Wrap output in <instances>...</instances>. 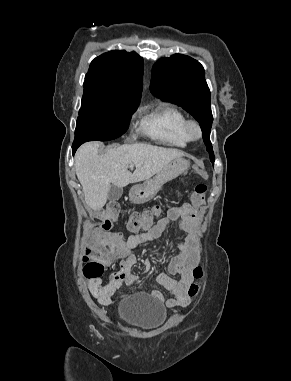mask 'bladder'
<instances>
[{"instance_id": "1", "label": "bladder", "mask_w": 291, "mask_h": 381, "mask_svg": "<svg viewBox=\"0 0 291 381\" xmlns=\"http://www.w3.org/2000/svg\"><path fill=\"white\" fill-rule=\"evenodd\" d=\"M118 318L130 328L151 330L164 322L166 310L151 297L135 294L122 299L118 308Z\"/></svg>"}]
</instances>
